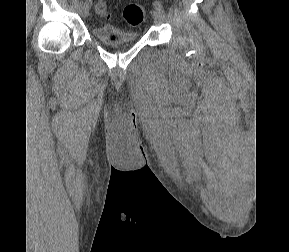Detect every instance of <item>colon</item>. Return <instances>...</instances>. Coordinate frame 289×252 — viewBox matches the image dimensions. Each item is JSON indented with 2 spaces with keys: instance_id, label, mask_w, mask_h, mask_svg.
Instances as JSON below:
<instances>
[{
  "instance_id": "5ec220e1",
  "label": "colon",
  "mask_w": 289,
  "mask_h": 252,
  "mask_svg": "<svg viewBox=\"0 0 289 252\" xmlns=\"http://www.w3.org/2000/svg\"><path fill=\"white\" fill-rule=\"evenodd\" d=\"M95 9L97 13L103 17H106L108 15L106 10V4L103 0H99L96 3ZM145 15L146 9L143 5L132 3L127 5L123 9L122 22L125 26L136 27L143 23Z\"/></svg>"
}]
</instances>
